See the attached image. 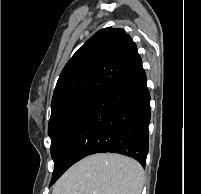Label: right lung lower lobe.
Listing matches in <instances>:
<instances>
[{
  "label": "right lung lower lobe",
  "mask_w": 201,
  "mask_h": 194,
  "mask_svg": "<svg viewBox=\"0 0 201 194\" xmlns=\"http://www.w3.org/2000/svg\"><path fill=\"white\" fill-rule=\"evenodd\" d=\"M142 64L114 83L66 128L55 150L52 185L71 165L101 152L136 159L143 167L149 148L150 94Z\"/></svg>",
  "instance_id": "1"
}]
</instances>
